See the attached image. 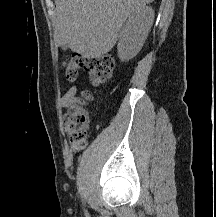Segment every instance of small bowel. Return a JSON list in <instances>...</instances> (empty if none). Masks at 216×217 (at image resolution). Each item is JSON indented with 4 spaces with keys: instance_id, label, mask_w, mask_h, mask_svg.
Returning a JSON list of instances; mask_svg holds the SVG:
<instances>
[{
    "instance_id": "c3829d8e",
    "label": "small bowel",
    "mask_w": 216,
    "mask_h": 217,
    "mask_svg": "<svg viewBox=\"0 0 216 217\" xmlns=\"http://www.w3.org/2000/svg\"><path fill=\"white\" fill-rule=\"evenodd\" d=\"M77 87H71L68 89L65 94L60 99V106L61 108L67 110L66 117L69 114V111L76 103V94H77Z\"/></svg>"
}]
</instances>
